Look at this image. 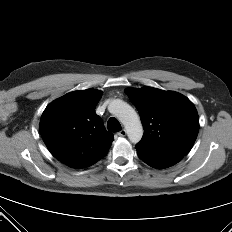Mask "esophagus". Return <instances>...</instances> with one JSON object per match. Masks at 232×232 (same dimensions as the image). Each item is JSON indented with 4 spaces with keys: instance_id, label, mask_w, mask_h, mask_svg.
Segmentation results:
<instances>
[{
    "instance_id": "34e87169",
    "label": "esophagus",
    "mask_w": 232,
    "mask_h": 232,
    "mask_svg": "<svg viewBox=\"0 0 232 232\" xmlns=\"http://www.w3.org/2000/svg\"><path fill=\"white\" fill-rule=\"evenodd\" d=\"M118 135H119L120 137L126 136V130H125V129H122L120 132H118Z\"/></svg>"
}]
</instances>
